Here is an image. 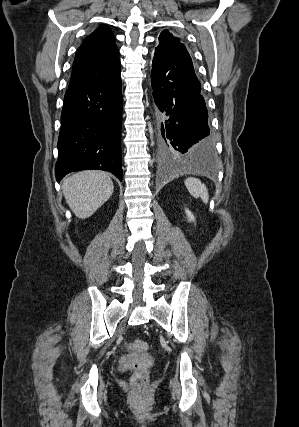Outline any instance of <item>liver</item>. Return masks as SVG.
<instances>
[{
    "label": "liver",
    "mask_w": 299,
    "mask_h": 427,
    "mask_svg": "<svg viewBox=\"0 0 299 427\" xmlns=\"http://www.w3.org/2000/svg\"><path fill=\"white\" fill-rule=\"evenodd\" d=\"M62 190L72 212L86 219L112 196L114 185L107 173L86 170L66 177Z\"/></svg>",
    "instance_id": "obj_1"
}]
</instances>
